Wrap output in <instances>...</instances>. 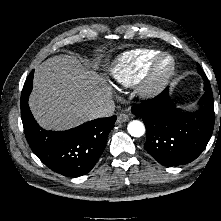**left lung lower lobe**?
Returning <instances> with one entry per match:
<instances>
[{"mask_svg":"<svg viewBox=\"0 0 221 221\" xmlns=\"http://www.w3.org/2000/svg\"><path fill=\"white\" fill-rule=\"evenodd\" d=\"M205 86L194 113L176 108L168 88L155 98L132 108L146 126L145 150L162 165L177 166L195 160L205 149L214 126L212 89L203 70L198 71Z\"/></svg>","mask_w":221,"mask_h":221,"instance_id":"1","label":"left lung lower lobe"}]
</instances>
